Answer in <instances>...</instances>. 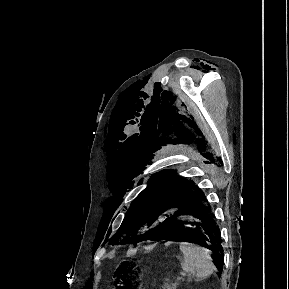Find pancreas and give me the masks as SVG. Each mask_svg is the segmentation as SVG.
I'll list each match as a JSON object with an SVG mask.
<instances>
[{
  "mask_svg": "<svg viewBox=\"0 0 289 289\" xmlns=\"http://www.w3.org/2000/svg\"><path fill=\"white\" fill-rule=\"evenodd\" d=\"M177 283H170V284H166L163 289H176L177 288Z\"/></svg>",
  "mask_w": 289,
  "mask_h": 289,
  "instance_id": "pancreas-1",
  "label": "pancreas"
}]
</instances>
